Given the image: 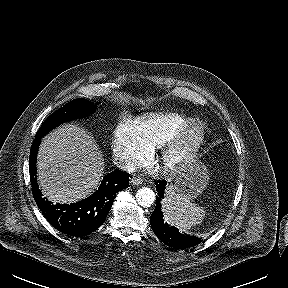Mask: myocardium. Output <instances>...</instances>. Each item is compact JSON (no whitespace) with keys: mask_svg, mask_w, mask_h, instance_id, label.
<instances>
[{"mask_svg":"<svg viewBox=\"0 0 288 288\" xmlns=\"http://www.w3.org/2000/svg\"><path fill=\"white\" fill-rule=\"evenodd\" d=\"M197 133L189 145L179 155L175 152L187 138L191 130ZM207 135L206 124L198 119H191L185 125L177 129L162 143L159 160L171 175H178L189 169L196 161L198 154L204 145Z\"/></svg>","mask_w":288,"mask_h":288,"instance_id":"f54148a6","label":"myocardium"}]
</instances>
